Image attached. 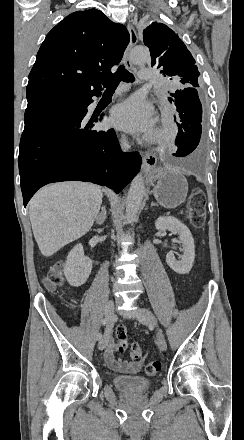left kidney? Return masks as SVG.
I'll return each mask as SVG.
<instances>
[{
	"instance_id": "5707ae66",
	"label": "left kidney",
	"mask_w": 244,
	"mask_h": 440,
	"mask_svg": "<svg viewBox=\"0 0 244 440\" xmlns=\"http://www.w3.org/2000/svg\"><path fill=\"white\" fill-rule=\"evenodd\" d=\"M155 228L159 232L169 230L172 234H179L183 256H180L181 260H176L174 254H167L166 262L177 274H189L195 258L194 240L189 228L173 216H160L155 222Z\"/></svg>"
}]
</instances>
